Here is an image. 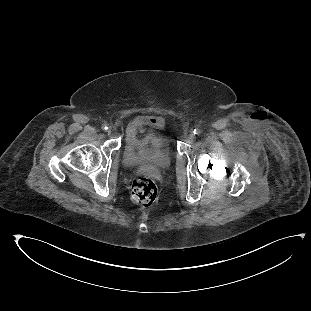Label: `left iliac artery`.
Returning a JSON list of instances; mask_svg holds the SVG:
<instances>
[{"label": "left iliac artery", "instance_id": "obj_1", "mask_svg": "<svg viewBox=\"0 0 311 311\" xmlns=\"http://www.w3.org/2000/svg\"><path fill=\"white\" fill-rule=\"evenodd\" d=\"M194 134H196V135H200V134H201V130H200V129H198V128H196V129L194 130Z\"/></svg>", "mask_w": 311, "mask_h": 311}]
</instances>
